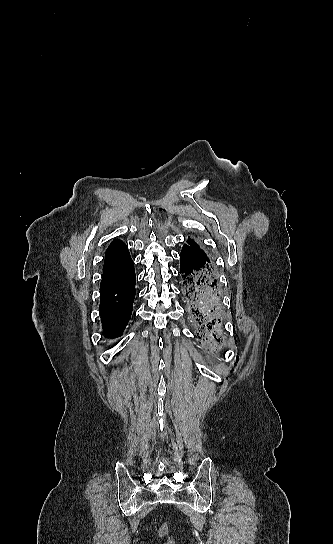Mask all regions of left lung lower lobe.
<instances>
[{"mask_svg":"<svg viewBox=\"0 0 333 544\" xmlns=\"http://www.w3.org/2000/svg\"><path fill=\"white\" fill-rule=\"evenodd\" d=\"M183 297L199 338L209 348L222 342V303L217 272L211 260L184 245L180 254Z\"/></svg>","mask_w":333,"mask_h":544,"instance_id":"obj_1","label":"left lung lower lobe"}]
</instances>
